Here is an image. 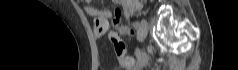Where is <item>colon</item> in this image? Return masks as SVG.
<instances>
[{
    "mask_svg": "<svg viewBox=\"0 0 238 70\" xmlns=\"http://www.w3.org/2000/svg\"><path fill=\"white\" fill-rule=\"evenodd\" d=\"M123 37L127 38L128 34L124 33ZM123 37L120 36V33H115L113 31L109 33L110 41L112 42L115 48V54H117V56L120 58L122 65L128 70H133L134 60L131 57L124 56V54H126V49L125 43L122 41Z\"/></svg>",
    "mask_w": 238,
    "mask_h": 70,
    "instance_id": "colon-1",
    "label": "colon"
}]
</instances>
